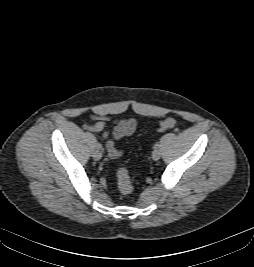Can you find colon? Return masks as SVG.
<instances>
[{"label": "colon", "mask_w": 254, "mask_h": 267, "mask_svg": "<svg viewBox=\"0 0 254 267\" xmlns=\"http://www.w3.org/2000/svg\"><path fill=\"white\" fill-rule=\"evenodd\" d=\"M175 125L174 118H166L159 123L158 131L163 132L171 129ZM118 189L123 195H129L133 191V184L127 168H120L117 171Z\"/></svg>", "instance_id": "colon-1"}]
</instances>
